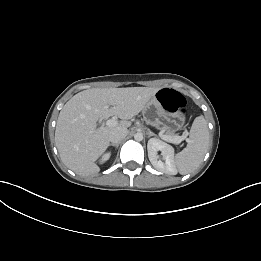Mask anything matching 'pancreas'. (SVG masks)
Masks as SVG:
<instances>
[{
	"label": "pancreas",
	"instance_id": "cf45deb5",
	"mask_svg": "<svg viewBox=\"0 0 261 261\" xmlns=\"http://www.w3.org/2000/svg\"><path fill=\"white\" fill-rule=\"evenodd\" d=\"M169 137H177L176 135H174L173 133H168Z\"/></svg>",
	"mask_w": 261,
	"mask_h": 261
}]
</instances>
